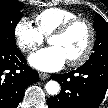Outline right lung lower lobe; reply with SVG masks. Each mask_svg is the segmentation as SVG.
Here are the masks:
<instances>
[{
    "instance_id": "1",
    "label": "right lung lower lobe",
    "mask_w": 108,
    "mask_h": 108,
    "mask_svg": "<svg viewBox=\"0 0 108 108\" xmlns=\"http://www.w3.org/2000/svg\"><path fill=\"white\" fill-rule=\"evenodd\" d=\"M38 80L18 48L0 42V108H16L27 86Z\"/></svg>"
}]
</instances>
